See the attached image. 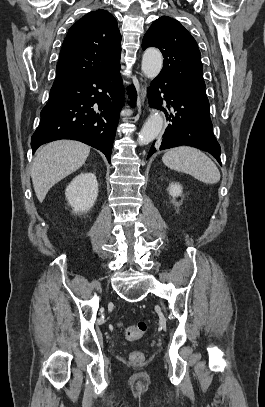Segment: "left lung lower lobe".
I'll list each match as a JSON object with an SVG mask.
<instances>
[{
  "label": "left lung lower lobe",
  "instance_id": "obj_1",
  "mask_svg": "<svg viewBox=\"0 0 265 407\" xmlns=\"http://www.w3.org/2000/svg\"><path fill=\"white\" fill-rule=\"evenodd\" d=\"M150 106L161 110L163 100L173 113L166 118L169 121L163 139L153 145L147 159L157 150L180 145H188L211 153L221 164L220 145L217 142L209 115V107L199 104L180 88L162 75H158L148 88Z\"/></svg>",
  "mask_w": 265,
  "mask_h": 407
}]
</instances>
